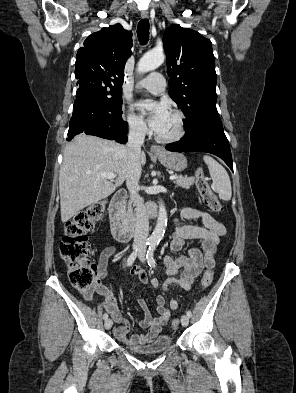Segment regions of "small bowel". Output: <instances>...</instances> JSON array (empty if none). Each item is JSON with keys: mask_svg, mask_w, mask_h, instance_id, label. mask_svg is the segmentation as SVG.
I'll return each mask as SVG.
<instances>
[{"mask_svg": "<svg viewBox=\"0 0 296 393\" xmlns=\"http://www.w3.org/2000/svg\"><path fill=\"white\" fill-rule=\"evenodd\" d=\"M181 216L188 220L200 219L203 226L184 225L176 227L170 242L171 251L180 253L188 241L194 240L201 243V249L191 248L186 254H181L177 257L166 256L164 258L165 272L170 277L162 284L155 277L149 279L145 270L134 267L131 271L132 274L137 276L143 284L149 282L153 288L161 287L164 292H168L169 286L172 284L189 290L205 267L211 269L215 266V253L220 238L226 234V227L209 213L194 208H184L181 211ZM115 252L116 247L113 245L107 246L102 251L98 262V273L101 278L107 277L109 259ZM94 292L104 297V300L101 302L102 308L118 324L114 328L116 338L121 343L130 346L149 344L169 322L171 310L178 308V302L175 299H170L167 307L164 297L158 295L155 298L158 316L153 317L146 301L139 299L138 304L143 311V317L137 320V324L142 328H146L147 332L129 335V322L123 318L113 292L98 281L94 289L83 295L84 299L91 300Z\"/></svg>", "mask_w": 296, "mask_h": 393, "instance_id": "small-bowel-1", "label": "small bowel"}]
</instances>
